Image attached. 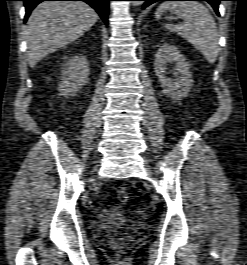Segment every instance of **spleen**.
Returning a JSON list of instances; mask_svg holds the SVG:
<instances>
[{"label":"spleen","instance_id":"obj_1","mask_svg":"<svg viewBox=\"0 0 247 265\" xmlns=\"http://www.w3.org/2000/svg\"><path fill=\"white\" fill-rule=\"evenodd\" d=\"M166 11L183 20L181 24H165L166 29L189 41L209 63H215L219 52V35L209 10L196 1H167L157 8L156 19H160Z\"/></svg>","mask_w":247,"mask_h":265}]
</instances>
